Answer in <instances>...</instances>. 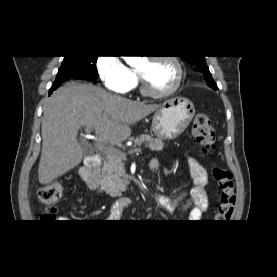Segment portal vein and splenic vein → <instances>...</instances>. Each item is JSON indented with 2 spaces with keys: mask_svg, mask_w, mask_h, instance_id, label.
Wrapping results in <instances>:
<instances>
[{
  "mask_svg": "<svg viewBox=\"0 0 277 277\" xmlns=\"http://www.w3.org/2000/svg\"><path fill=\"white\" fill-rule=\"evenodd\" d=\"M86 131L87 132H90V129L89 127L86 128ZM95 146L102 152H104L108 157L116 152H118L116 149L112 148V147H108V146H104L103 144L101 143H96ZM135 152H141V148H136L134 150Z\"/></svg>",
  "mask_w": 277,
  "mask_h": 277,
  "instance_id": "obj_1",
  "label": "portal vein and splenic vein"
}]
</instances>
